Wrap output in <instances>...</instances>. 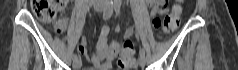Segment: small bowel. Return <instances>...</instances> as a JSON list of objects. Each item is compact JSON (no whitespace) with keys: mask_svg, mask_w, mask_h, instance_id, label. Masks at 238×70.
Segmentation results:
<instances>
[{"mask_svg":"<svg viewBox=\"0 0 238 70\" xmlns=\"http://www.w3.org/2000/svg\"><path fill=\"white\" fill-rule=\"evenodd\" d=\"M148 4L153 7L151 11V16H156L158 14H163L167 11L166 4L161 0H149ZM67 27L66 19H60L55 23V29L58 33H62ZM119 28H116L118 31ZM134 30L132 27H128L125 33H133ZM109 34L110 28L106 25L102 26L97 42V50L94 54H89L87 41L85 38H82L78 45V50L80 54L89 58L93 64V67L88 68L87 70H110L111 63L117 58L118 54H123L121 51L122 43L118 41H112L109 43Z\"/></svg>","mask_w":238,"mask_h":70,"instance_id":"1","label":"small bowel"}]
</instances>
